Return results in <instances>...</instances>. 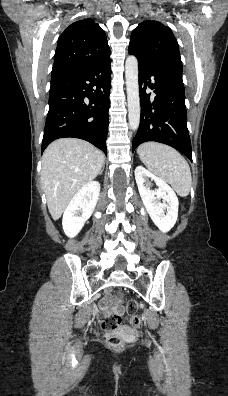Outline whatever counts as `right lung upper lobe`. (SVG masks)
<instances>
[{
  "label": "right lung upper lobe",
  "instance_id": "cb5924a9",
  "mask_svg": "<svg viewBox=\"0 0 228 396\" xmlns=\"http://www.w3.org/2000/svg\"><path fill=\"white\" fill-rule=\"evenodd\" d=\"M109 56L105 32L97 23L74 22L59 37L52 76L91 67Z\"/></svg>",
  "mask_w": 228,
  "mask_h": 396
}]
</instances>
